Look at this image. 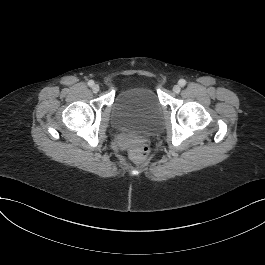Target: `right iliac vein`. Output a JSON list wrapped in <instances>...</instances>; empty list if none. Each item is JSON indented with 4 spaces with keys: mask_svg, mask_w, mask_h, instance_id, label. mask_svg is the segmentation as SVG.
Masks as SVG:
<instances>
[{
    "mask_svg": "<svg viewBox=\"0 0 265 265\" xmlns=\"http://www.w3.org/2000/svg\"><path fill=\"white\" fill-rule=\"evenodd\" d=\"M92 90L94 93H98L100 91L99 85H97V84L93 85Z\"/></svg>",
    "mask_w": 265,
    "mask_h": 265,
    "instance_id": "right-iliac-vein-1",
    "label": "right iliac vein"
}]
</instances>
